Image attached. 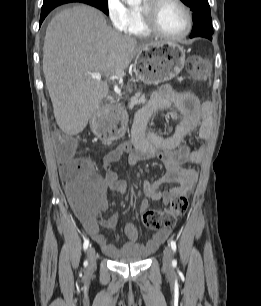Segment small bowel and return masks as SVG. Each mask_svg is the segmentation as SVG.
Masks as SVG:
<instances>
[{"mask_svg": "<svg viewBox=\"0 0 261 306\" xmlns=\"http://www.w3.org/2000/svg\"><path fill=\"white\" fill-rule=\"evenodd\" d=\"M176 107L183 115L182 121L169 135L160 134L149 127V123L158 111ZM212 106L209 102L201 103L195 94L191 92H177L169 85H163L154 93L149 102L135 115L130 141L123 142L107 153L102 159L103 174L98 173L91 159L86 161L91 169L89 178L94 196L79 213V220L91 238L100 245L103 252L112 258L122 254L143 253L150 254L166 241L171 230L165 228L157 232L146 244L139 243L137 228L127 223L124 227L126 242L117 247L111 244L101 228H115L118 218L115 215L103 217L102 213L108 210L109 191L123 194L126 182L113 170V165L122 156H128L130 166H136L143 160H160L166 172L154 181L145 180L142 188L145 196L151 200H160L168 204L174 196L189 194L197 179L195 169L185 167V164H199L203 161L206 152V137L211 125ZM199 129L200 140L194 149L183 144L186 136ZM76 159V158H75ZM62 157L59 160L60 171L66 164ZM166 183H177L172 188L161 190ZM148 204L144 201L142 210H146Z\"/></svg>", "mask_w": 261, "mask_h": 306, "instance_id": "small-bowel-1", "label": "small bowel"}]
</instances>
